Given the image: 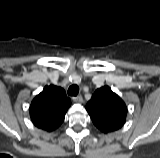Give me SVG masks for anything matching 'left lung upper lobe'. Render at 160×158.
I'll return each mask as SVG.
<instances>
[{
  "instance_id": "5c2ea615",
  "label": "left lung upper lobe",
  "mask_w": 160,
  "mask_h": 158,
  "mask_svg": "<svg viewBox=\"0 0 160 158\" xmlns=\"http://www.w3.org/2000/svg\"><path fill=\"white\" fill-rule=\"evenodd\" d=\"M94 125L103 133L120 129L126 120L127 107L109 86L97 89L86 104Z\"/></svg>"
}]
</instances>
